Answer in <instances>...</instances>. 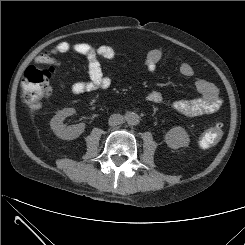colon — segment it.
<instances>
[{
  "label": "colon",
  "mask_w": 245,
  "mask_h": 245,
  "mask_svg": "<svg viewBox=\"0 0 245 245\" xmlns=\"http://www.w3.org/2000/svg\"><path fill=\"white\" fill-rule=\"evenodd\" d=\"M51 73L48 70L29 66L22 79V99L30 108L36 109L50 94ZM222 136V125L216 123L202 134L200 145L204 148L215 145Z\"/></svg>",
  "instance_id": "5ec220e1"
}]
</instances>
